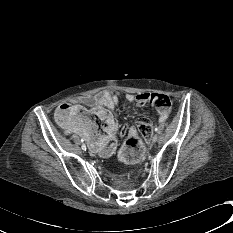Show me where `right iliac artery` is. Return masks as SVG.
Here are the masks:
<instances>
[{
  "label": "right iliac artery",
  "instance_id": "right-iliac-artery-1",
  "mask_svg": "<svg viewBox=\"0 0 233 233\" xmlns=\"http://www.w3.org/2000/svg\"><path fill=\"white\" fill-rule=\"evenodd\" d=\"M81 141L83 142V139H81ZM81 147H82L83 150H86V145L85 144H83Z\"/></svg>",
  "mask_w": 233,
  "mask_h": 233
}]
</instances>
